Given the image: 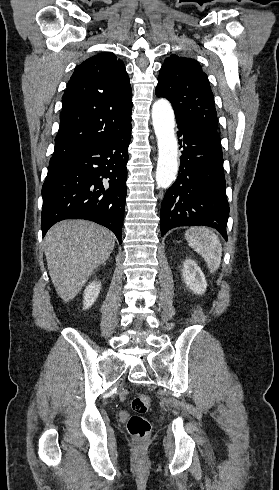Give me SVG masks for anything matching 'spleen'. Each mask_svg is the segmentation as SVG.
<instances>
[{"instance_id": "1", "label": "spleen", "mask_w": 279, "mask_h": 490, "mask_svg": "<svg viewBox=\"0 0 279 490\" xmlns=\"http://www.w3.org/2000/svg\"><path fill=\"white\" fill-rule=\"evenodd\" d=\"M186 238L190 248L204 258L209 272L213 274L221 264L222 246L221 242L209 228H190L186 232Z\"/></svg>"}]
</instances>
